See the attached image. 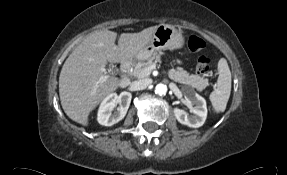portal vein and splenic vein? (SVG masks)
Masks as SVG:
<instances>
[{
    "instance_id": "obj_1",
    "label": "portal vein and splenic vein",
    "mask_w": 287,
    "mask_h": 175,
    "mask_svg": "<svg viewBox=\"0 0 287 175\" xmlns=\"http://www.w3.org/2000/svg\"><path fill=\"white\" fill-rule=\"evenodd\" d=\"M155 67H156V65L153 64V65L147 67L146 69H144L143 71H141V73H140L139 75H143V76L150 75L151 71H152L153 69H155Z\"/></svg>"
}]
</instances>
